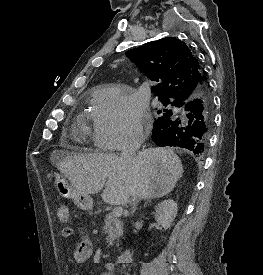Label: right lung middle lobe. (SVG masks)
<instances>
[{
  "label": "right lung middle lobe",
  "instance_id": "right-lung-middle-lobe-1",
  "mask_svg": "<svg viewBox=\"0 0 263 275\" xmlns=\"http://www.w3.org/2000/svg\"><path fill=\"white\" fill-rule=\"evenodd\" d=\"M160 102L163 105H167V104L170 103V100H169V98H161ZM172 105L177 106L178 102L174 100L172 102ZM158 114H160V116L155 121L171 116L172 115V110H168V109L158 110Z\"/></svg>",
  "mask_w": 263,
  "mask_h": 275
}]
</instances>
